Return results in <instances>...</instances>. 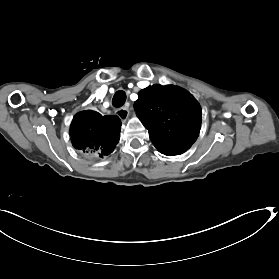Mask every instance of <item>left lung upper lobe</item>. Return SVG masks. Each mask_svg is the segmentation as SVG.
<instances>
[{
    "instance_id": "5c2ea615",
    "label": "left lung upper lobe",
    "mask_w": 279,
    "mask_h": 279,
    "mask_svg": "<svg viewBox=\"0 0 279 279\" xmlns=\"http://www.w3.org/2000/svg\"><path fill=\"white\" fill-rule=\"evenodd\" d=\"M134 109L148 129L152 143L162 154L184 153L199 135L200 106L178 87L149 86L138 93Z\"/></svg>"
}]
</instances>
